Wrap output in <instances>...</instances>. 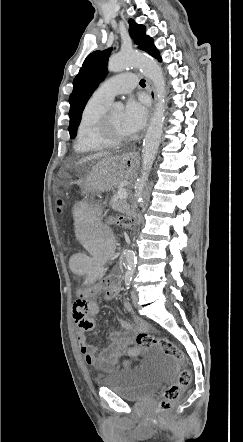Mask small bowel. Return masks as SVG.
<instances>
[{"label": "small bowel", "instance_id": "obj_1", "mask_svg": "<svg viewBox=\"0 0 243 442\" xmlns=\"http://www.w3.org/2000/svg\"><path fill=\"white\" fill-rule=\"evenodd\" d=\"M95 293L104 291L109 298L117 295L120 288V278L116 274H110L105 280H99L93 284ZM90 296H79L73 306V319L77 326V342L79 351L85 362L98 369L112 370L119 362L123 354L135 357L140 348L134 346V335L146 328V324L138 317L131 316V320H120L119 325L123 332L111 331L108 334L110 345L99 350L87 341L86 333L94 327L93 317L97 315L101 307L98 303L89 299ZM125 310L131 312V305L124 304ZM84 309V311H83Z\"/></svg>", "mask_w": 243, "mask_h": 442}]
</instances>
